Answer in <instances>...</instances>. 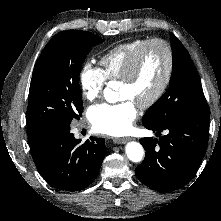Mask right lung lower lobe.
<instances>
[{
    "instance_id": "1",
    "label": "right lung lower lobe",
    "mask_w": 221,
    "mask_h": 221,
    "mask_svg": "<svg viewBox=\"0 0 221 221\" xmlns=\"http://www.w3.org/2000/svg\"><path fill=\"white\" fill-rule=\"evenodd\" d=\"M35 165L52 187L78 191L90 185L98 175L107 153L104 138H90L81 144L70 127L51 131L31 149Z\"/></svg>"
}]
</instances>
